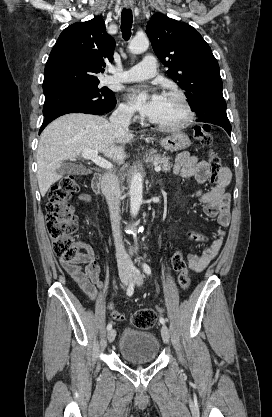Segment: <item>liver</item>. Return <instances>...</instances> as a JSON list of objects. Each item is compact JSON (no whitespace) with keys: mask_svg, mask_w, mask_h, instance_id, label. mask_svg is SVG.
<instances>
[{"mask_svg":"<svg viewBox=\"0 0 272 417\" xmlns=\"http://www.w3.org/2000/svg\"><path fill=\"white\" fill-rule=\"evenodd\" d=\"M134 138L129 131L115 128L103 117L90 114H68L50 123L42 132L37 150V179L42 196L62 174L63 161L84 150L102 152L119 164L126 158L125 145Z\"/></svg>","mask_w":272,"mask_h":417,"instance_id":"1","label":"liver"}]
</instances>
